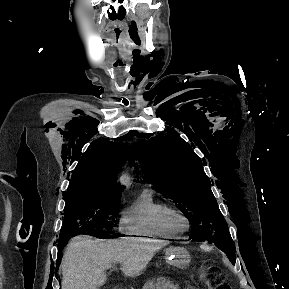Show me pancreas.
<instances>
[{"label": "pancreas", "instance_id": "obj_1", "mask_svg": "<svg viewBox=\"0 0 289 289\" xmlns=\"http://www.w3.org/2000/svg\"><path fill=\"white\" fill-rule=\"evenodd\" d=\"M143 289H178L177 285L165 278H157L149 280Z\"/></svg>", "mask_w": 289, "mask_h": 289}]
</instances>
